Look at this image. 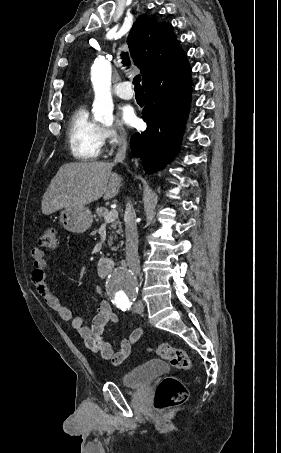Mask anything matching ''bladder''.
I'll return each mask as SVG.
<instances>
[{
  "label": "bladder",
  "instance_id": "bladder-1",
  "mask_svg": "<svg viewBox=\"0 0 281 453\" xmlns=\"http://www.w3.org/2000/svg\"><path fill=\"white\" fill-rule=\"evenodd\" d=\"M167 371L168 365L165 362L160 360L149 361L125 373L121 377V384L128 388H137Z\"/></svg>",
  "mask_w": 281,
  "mask_h": 453
}]
</instances>
